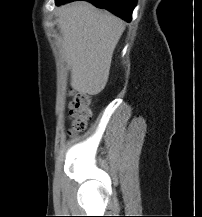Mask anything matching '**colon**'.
<instances>
[{
    "mask_svg": "<svg viewBox=\"0 0 202 217\" xmlns=\"http://www.w3.org/2000/svg\"><path fill=\"white\" fill-rule=\"evenodd\" d=\"M92 98L83 92H74L69 104V117L71 119V134L82 132L92 117Z\"/></svg>",
    "mask_w": 202,
    "mask_h": 217,
    "instance_id": "1",
    "label": "colon"
}]
</instances>
